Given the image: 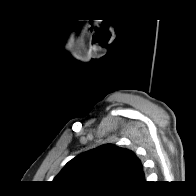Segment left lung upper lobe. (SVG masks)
Here are the masks:
<instances>
[{"mask_svg":"<svg viewBox=\"0 0 196 196\" xmlns=\"http://www.w3.org/2000/svg\"><path fill=\"white\" fill-rule=\"evenodd\" d=\"M53 183L79 193H123L144 183V172L134 152L105 144L70 160Z\"/></svg>","mask_w":196,"mask_h":196,"instance_id":"left-lung-upper-lobe-1","label":"left lung upper lobe"}]
</instances>
